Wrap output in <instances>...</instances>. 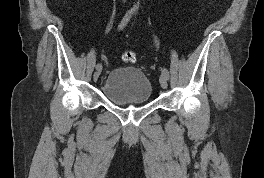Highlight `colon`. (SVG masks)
<instances>
[{
    "instance_id": "obj_1",
    "label": "colon",
    "mask_w": 264,
    "mask_h": 178,
    "mask_svg": "<svg viewBox=\"0 0 264 178\" xmlns=\"http://www.w3.org/2000/svg\"><path fill=\"white\" fill-rule=\"evenodd\" d=\"M121 59L124 63H127V64H133L136 62V54L132 51H125L122 56H121Z\"/></svg>"
}]
</instances>
